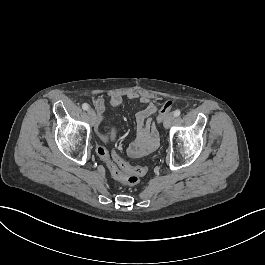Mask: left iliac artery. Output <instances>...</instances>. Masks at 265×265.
I'll return each instance as SVG.
<instances>
[{
  "instance_id": "1",
  "label": "left iliac artery",
  "mask_w": 265,
  "mask_h": 265,
  "mask_svg": "<svg viewBox=\"0 0 265 265\" xmlns=\"http://www.w3.org/2000/svg\"><path fill=\"white\" fill-rule=\"evenodd\" d=\"M173 114H174L175 117H178V116H180L181 111L179 109H177V110L174 111Z\"/></svg>"
}]
</instances>
